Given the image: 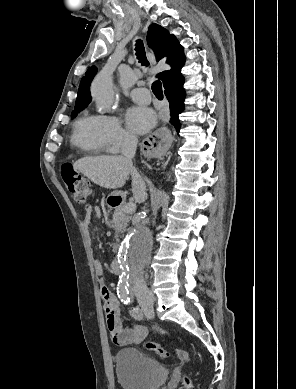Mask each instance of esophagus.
Segmentation results:
<instances>
[{"mask_svg": "<svg viewBox=\"0 0 296 389\" xmlns=\"http://www.w3.org/2000/svg\"><path fill=\"white\" fill-rule=\"evenodd\" d=\"M148 57L150 61L154 62V54L149 49ZM176 136L173 131H169L167 124L162 123L154 129V133L144 135L142 138V145L150 159L162 157L166 151H170L172 144L175 142Z\"/></svg>", "mask_w": 296, "mask_h": 389, "instance_id": "esophagus-1", "label": "esophagus"}]
</instances>
